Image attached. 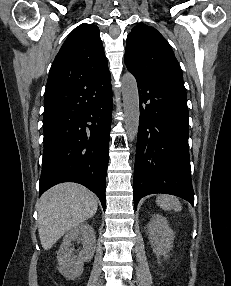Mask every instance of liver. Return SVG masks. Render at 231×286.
I'll use <instances>...</instances> for the list:
<instances>
[{
  "mask_svg": "<svg viewBox=\"0 0 231 286\" xmlns=\"http://www.w3.org/2000/svg\"><path fill=\"white\" fill-rule=\"evenodd\" d=\"M95 195L77 183H61L46 191L38 201V232L42 247L50 249L65 233L93 217Z\"/></svg>",
  "mask_w": 231,
  "mask_h": 286,
  "instance_id": "1",
  "label": "liver"
}]
</instances>
